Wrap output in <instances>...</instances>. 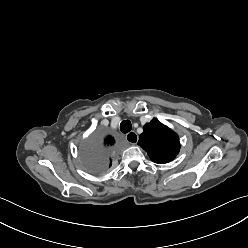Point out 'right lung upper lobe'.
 I'll use <instances>...</instances> for the list:
<instances>
[{"label":"right lung upper lobe","mask_w":248,"mask_h":248,"mask_svg":"<svg viewBox=\"0 0 248 248\" xmlns=\"http://www.w3.org/2000/svg\"><path fill=\"white\" fill-rule=\"evenodd\" d=\"M107 145H113L114 144V138H112L111 136L107 137L105 140Z\"/></svg>","instance_id":"right-lung-upper-lobe-1"}]
</instances>
